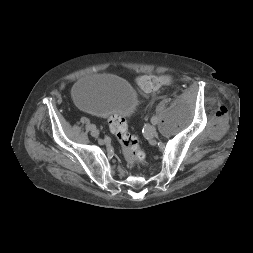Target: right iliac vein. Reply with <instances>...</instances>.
Wrapping results in <instances>:
<instances>
[{
  "instance_id": "63e3f726",
  "label": "right iliac vein",
  "mask_w": 253,
  "mask_h": 253,
  "mask_svg": "<svg viewBox=\"0 0 253 253\" xmlns=\"http://www.w3.org/2000/svg\"><path fill=\"white\" fill-rule=\"evenodd\" d=\"M91 135H92L93 137H98L99 131H98L96 128H94V129L91 130Z\"/></svg>"
}]
</instances>
